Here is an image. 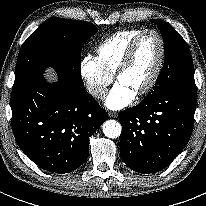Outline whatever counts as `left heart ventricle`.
Wrapping results in <instances>:
<instances>
[{
    "label": "left heart ventricle",
    "mask_w": 206,
    "mask_h": 206,
    "mask_svg": "<svg viewBox=\"0 0 206 206\" xmlns=\"http://www.w3.org/2000/svg\"><path fill=\"white\" fill-rule=\"evenodd\" d=\"M160 45L158 38L151 33L144 35L128 69L118 78L135 94L144 88L152 77L158 62Z\"/></svg>",
    "instance_id": "obj_1"
}]
</instances>
